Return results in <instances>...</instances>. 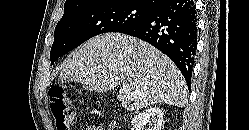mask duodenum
I'll return each instance as SVG.
<instances>
[{
	"instance_id": "410a0bca",
	"label": "duodenum",
	"mask_w": 249,
	"mask_h": 130,
	"mask_svg": "<svg viewBox=\"0 0 249 130\" xmlns=\"http://www.w3.org/2000/svg\"><path fill=\"white\" fill-rule=\"evenodd\" d=\"M112 128H114V126H113V125H110V129H109V130H112Z\"/></svg>"
}]
</instances>
